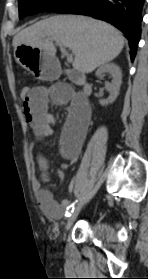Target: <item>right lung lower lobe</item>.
I'll list each match as a JSON object with an SVG mask.
<instances>
[{"label":"right lung lower lobe","instance_id":"right-lung-lower-lobe-1","mask_svg":"<svg viewBox=\"0 0 148 279\" xmlns=\"http://www.w3.org/2000/svg\"><path fill=\"white\" fill-rule=\"evenodd\" d=\"M145 0H81L62 9V13L82 14L107 21L128 38L133 61L141 36L142 11Z\"/></svg>","mask_w":148,"mask_h":279}]
</instances>
